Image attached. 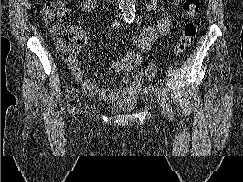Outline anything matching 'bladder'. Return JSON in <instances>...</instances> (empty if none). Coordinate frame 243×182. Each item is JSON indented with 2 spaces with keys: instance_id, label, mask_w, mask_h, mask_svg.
<instances>
[{
  "instance_id": "obj_1",
  "label": "bladder",
  "mask_w": 243,
  "mask_h": 182,
  "mask_svg": "<svg viewBox=\"0 0 243 182\" xmlns=\"http://www.w3.org/2000/svg\"><path fill=\"white\" fill-rule=\"evenodd\" d=\"M137 100L133 97L121 99L113 104L106 106V109L111 113L126 114L131 113L137 108Z\"/></svg>"
}]
</instances>
